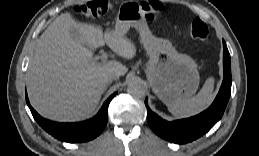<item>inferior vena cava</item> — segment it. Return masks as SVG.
<instances>
[{
    "label": "inferior vena cava",
    "mask_w": 259,
    "mask_h": 156,
    "mask_svg": "<svg viewBox=\"0 0 259 156\" xmlns=\"http://www.w3.org/2000/svg\"><path fill=\"white\" fill-rule=\"evenodd\" d=\"M119 76L120 74L117 72H110L106 76L107 82H112L113 80H117Z\"/></svg>",
    "instance_id": "602c4592"
}]
</instances>
